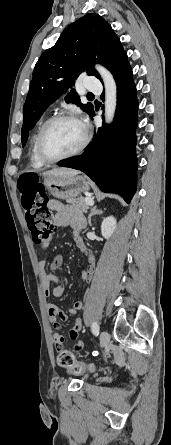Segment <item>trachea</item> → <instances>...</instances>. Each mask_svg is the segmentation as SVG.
Returning a JSON list of instances; mask_svg holds the SVG:
<instances>
[{
	"mask_svg": "<svg viewBox=\"0 0 171 445\" xmlns=\"http://www.w3.org/2000/svg\"><path fill=\"white\" fill-rule=\"evenodd\" d=\"M87 97H94V94L89 93V94H87Z\"/></svg>",
	"mask_w": 171,
	"mask_h": 445,
	"instance_id": "3493384b",
	"label": "trachea"
}]
</instances>
